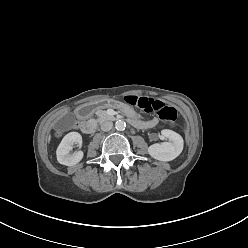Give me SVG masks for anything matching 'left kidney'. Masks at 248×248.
<instances>
[{"label":"left kidney","mask_w":248,"mask_h":248,"mask_svg":"<svg viewBox=\"0 0 248 248\" xmlns=\"http://www.w3.org/2000/svg\"><path fill=\"white\" fill-rule=\"evenodd\" d=\"M161 134L166 137L169 142H163L161 144L155 143L149 146L148 153L151 157L159 161L174 160L183 150V138L178 133L168 129L162 130Z\"/></svg>","instance_id":"5707ae66"}]
</instances>
